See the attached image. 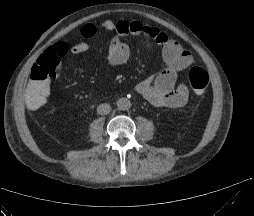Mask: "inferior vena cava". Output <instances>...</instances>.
Masks as SVG:
<instances>
[{"label": "inferior vena cava", "mask_w": 254, "mask_h": 216, "mask_svg": "<svg viewBox=\"0 0 254 216\" xmlns=\"http://www.w3.org/2000/svg\"><path fill=\"white\" fill-rule=\"evenodd\" d=\"M111 111V107L107 103L100 104L97 107V113L100 115H107Z\"/></svg>", "instance_id": "602c4592"}]
</instances>
